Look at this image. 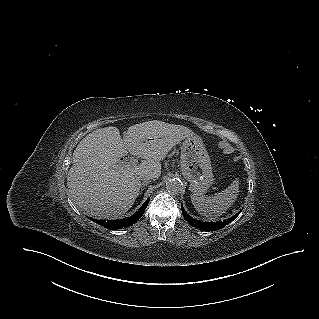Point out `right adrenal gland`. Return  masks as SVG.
I'll return each mask as SVG.
<instances>
[{"instance_id":"2a0ac1e0","label":"right adrenal gland","mask_w":319,"mask_h":319,"mask_svg":"<svg viewBox=\"0 0 319 319\" xmlns=\"http://www.w3.org/2000/svg\"><path fill=\"white\" fill-rule=\"evenodd\" d=\"M148 183H149V181H143V183H142V185H141V189H140L139 194H142V192H143L145 186H146Z\"/></svg>"}]
</instances>
